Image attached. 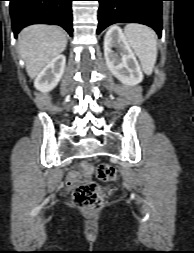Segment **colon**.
<instances>
[{"mask_svg": "<svg viewBox=\"0 0 194 253\" xmlns=\"http://www.w3.org/2000/svg\"><path fill=\"white\" fill-rule=\"evenodd\" d=\"M86 176L95 174L102 181H115L117 174L115 169L108 164H100L93 167L90 164H82ZM74 205L83 210L95 211L105 204L106 195L94 183L83 184L76 187L72 194Z\"/></svg>", "mask_w": 194, "mask_h": 253, "instance_id": "5ec220e1", "label": "colon"}]
</instances>
